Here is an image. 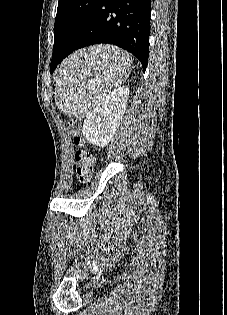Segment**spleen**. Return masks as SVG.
<instances>
[{
  "mask_svg": "<svg viewBox=\"0 0 227 315\" xmlns=\"http://www.w3.org/2000/svg\"><path fill=\"white\" fill-rule=\"evenodd\" d=\"M131 67L129 55L118 47L100 45L75 52L60 69L57 106L69 116L87 117L107 92L127 79Z\"/></svg>",
  "mask_w": 227,
  "mask_h": 315,
  "instance_id": "3e777b00",
  "label": "spleen"
}]
</instances>
